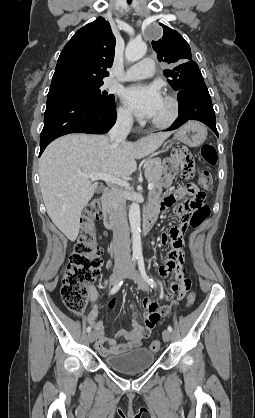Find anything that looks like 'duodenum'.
Instances as JSON below:
<instances>
[{"instance_id":"410a0bca","label":"duodenum","mask_w":255,"mask_h":418,"mask_svg":"<svg viewBox=\"0 0 255 418\" xmlns=\"http://www.w3.org/2000/svg\"><path fill=\"white\" fill-rule=\"evenodd\" d=\"M103 204V222L107 230L113 231L116 228L117 214L113 206L111 192L106 189L102 195ZM158 210L153 206H149L145 212L143 219V229L149 232L157 218Z\"/></svg>"}]
</instances>
